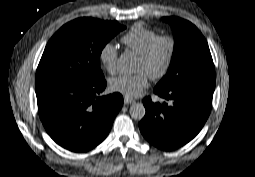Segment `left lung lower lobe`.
Returning <instances> with one entry per match:
<instances>
[{"label":"left lung lower lobe","mask_w":255,"mask_h":177,"mask_svg":"<svg viewBox=\"0 0 255 177\" xmlns=\"http://www.w3.org/2000/svg\"><path fill=\"white\" fill-rule=\"evenodd\" d=\"M215 78H195L154 93L171 103L143 100L146 109L139 123L147 141L162 150H173L193 139L206 122L212 106Z\"/></svg>","instance_id":"1"}]
</instances>
